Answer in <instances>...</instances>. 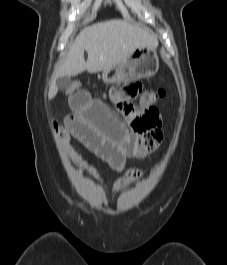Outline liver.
Wrapping results in <instances>:
<instances>
[{
	"mask_svg": "<svg viewBox=\"0 0 227 265\" xmlns=\"http://www.w3.org/2000/svg\"><path fill=\"white\" fill-rule=\"evenodd\" d=\"M156 37L126 20L112 19L84 28L71 45L64 61L55 70L49 87V99L57 94L56 80L76 76L85 70L96 73L110 69L139 47H155ZM87 51V61L84 51Z\"/></svg>",
	"mask_w": 227,
	"mask_h": 265,
	"instance_id": "obj_1",
	"label": "liver"
}]
</instances>
